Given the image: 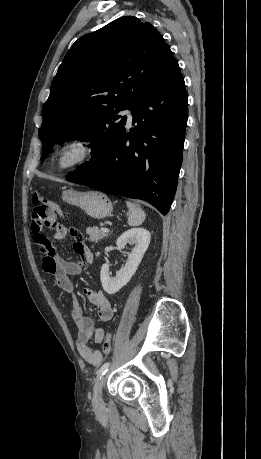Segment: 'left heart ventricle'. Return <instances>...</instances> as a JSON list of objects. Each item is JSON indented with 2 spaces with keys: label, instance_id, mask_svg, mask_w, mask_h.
<instances>
[{
  "label": "left heart ventricle",
  "instance_id": "b2bd125f",
  "mask_svg": "<svg viewBox=\"0 0 261 459\" xmlns=\"http://www.w3.org/2000/svg\"><path fill=\"white\" fill-rule=\"evenodd\" d=\"M67 160H68V158H65V161H67Z\"/></svg>",
  "mask_w": 261,
  "mask_h": 459
}]
</instances>
